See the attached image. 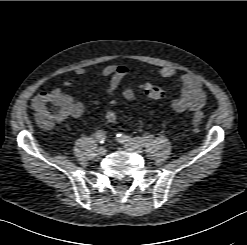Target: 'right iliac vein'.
Listing matches in <instances>:
<instances>
[{"mask_svg":"<svg viewBox=\"0 0 247 245\" xmlns=\"http://www.w3.org/2000/svg\"><path fill=\"white\" fill-rule=\"evenodd\" d=\"M106 148L105 147H100L98 150H97V153L99 156H104L106 154Z\"/></svg>","mask_w":247,"mask_h":245,"instance_id":"63e3f726","label":"right iliac vein"}]
</instances>
